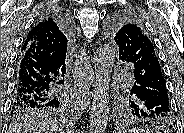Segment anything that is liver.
<instances>
[{"label": "liver", "instance_id": "liver-1", "mask_svg": "<svg viewBox=\"0 0 184 133\" xmlns=\"http://www.w3.org/2000/svg\"><path fill=\"white\" fill-rule=\"evenodd\" d=\"M9 131L10 133H64L61 124L46 113L27 116Z\"/></svg>", "mask_w": 184, "mask_h": 133}]
</instances>
